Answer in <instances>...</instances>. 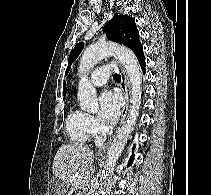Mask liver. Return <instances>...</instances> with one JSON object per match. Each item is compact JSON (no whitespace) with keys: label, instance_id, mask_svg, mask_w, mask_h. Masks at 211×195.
I'll return each mask as SVG.
<instances>
[{"label":"liver","instance_id":"obj_1","mask_svg":"<svg viewBox=\"0 0 211 195\" xmlns=\"http://www.w3.org/2000/svg\"><path fill=\"white\" fill-rule=\"evenodd\" d=\"M93 162L92 150L75 144H66L58 149L53 161L52 172L67 188L72 185L67 194L71 195L73 190L83 188L90 181L94 172ZM76 173L78 176L71 181ZM65 192L61 190V195Z\"/></svg>","mask_w":211,"mask_h":195}]
</instances>
